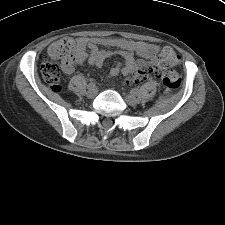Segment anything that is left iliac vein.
Segmentation results:
<instances>
[{
    "instance_id": "1",
    "label": "left iliac vein",
    "mask_w": 225,
    "mask_h": 225,
    "mask_svg": "<svg viewBox=\"0 0 225 225\" xmlns=\"http://www.w3.org/2000/svg\"><path fill=\"white\" fill-rule=\"evenodd\" d=\"M125 100H126V102L129 104V105H131V106H135V105H137L138 104V99L135 97V96H133L132 94H128V95H126L125 96Z\"/></svg>"
}]
</instances>
